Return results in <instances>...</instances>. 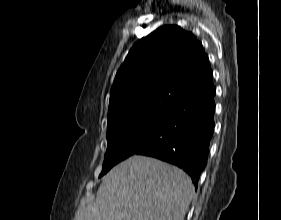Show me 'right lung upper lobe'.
I'll return each instance as SVG.
<instances>
[{
  "label": "right lung upper lobe",
  "instance_id": "right-lung-upper-lobe-1",
  "mask_svg": "<svg viewBox=\"0 0 281 220\" xmlns=\"http://www.w3.org/2000/svg\"><path fill=\"white\" fill-rule=\"evenodd\" d=\"M201 42L177 25H164L130 49L114 79L108 124L127 115L170 113L184 98L213 86Z\"/></svg>",
  "mask_w": 281,
  "mask_h": 220
}]
</instances>
